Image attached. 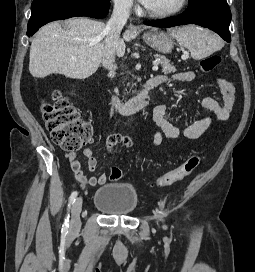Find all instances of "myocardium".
Wrapping results in <instances>:
<instances>
[{
    "instance_id": "obj_1",
    "label": "myocardium",
    "mask_w": 255,
    "mask_h": 272,
    "mask_svg": "<svg viewBox=\"0 0 255 272\" xmlns=\"http://www.w3.org/2000/svg\"><path fill=\"white\" fill-rule=\"evenodd\" d=\"M188 4V0H180L179 3L174 6L173 8H170L168 10L160 11V12H153L150 11L149 9H145V13L154 18H166V17H171L174 16L178 13H180Z\"/></svg>"
}]
</instances>
